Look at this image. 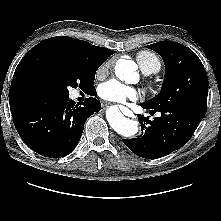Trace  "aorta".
Returning a JSON list of instances; mask_svg holds the SVG:
<instances>
[{"instance_id":"aorta-1","label":"aorta","mask_w":221,"mask_h":221,"mask_svg":"<svg viewBox=\"0 0 221 221\" xmlns=\"http://www.w3.org/2000/svg\"><path fill=\"white\" fill-rule=\"evenodd\" d=\"M115 73L120 80L128 83L138 79L137 65L132 60H119ZM106 116L110 126L124 137L134 136L139 130L138 122L126 118L116 106L110 107L107 110Z\"/></svg>"}]
</instances>
